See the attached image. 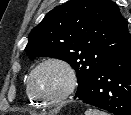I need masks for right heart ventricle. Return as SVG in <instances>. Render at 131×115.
I'll list each match as a JSON object with an SVG mask.
<instances>
[{"mask_svg": "<svg viewBox=\"0 0 131 115\" xmlns=\"http://www.w3.org/2000/svg\"><path fill=\"white\" fill-rule=\"evenodd\" d=\"M26 94H27L28 100H29L31 103H35V104L38 105V102H37L35 99H33V98L30 96V94L28 93L27 87H26Z\"/></svg>", "mask_w": 131, "mask_h": 115, "instance_id": "right-heart-ventricle-1", "label": "right heart ventricle"}]
</instances>
